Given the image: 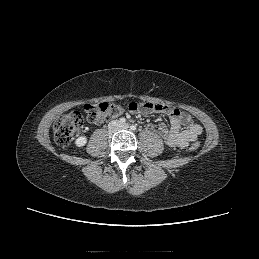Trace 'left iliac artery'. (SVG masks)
Returning <instances> with one entry per match:
<instances>
[{
    "label": "left iliac artery",
    "instance_id": "44dca946",
    "mask_svg": "<svg viewBox=\"0 0 259 259\" xmlns=\"http://www.w3.org/2000/svg\"><path fill=\"white\" fill-rule=\"evenodd\" d=\"M131 130L135 131L136 130V125H131Z\"/></svg>",
    "mask_w": 259,
    "mask_h": 259
}]
</instances>
